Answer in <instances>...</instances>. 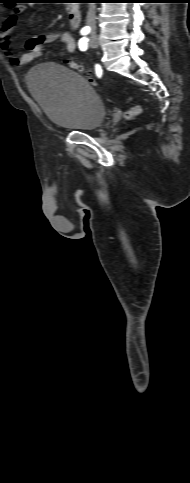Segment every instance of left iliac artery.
Segmentation results:
<instances>
[{"label": "left iliac artery", "mask_w": 190, "mask_h": 483, "mask_svg": "<svg viewBox=\"0 0 190 483\" xmlns=\"http://www.w3.org/2000/svg\"><path fill=\"white\" fill-rule=\"evenodd\" d=\"M88 41H89V39H88V38H86V37H83V38H81V39L78 41V46H79V49H80L81 51H85V50L87 49V47H88Z\"/></svg>", "instance_id": "left-iliac-artery-1"}]
</instances>
